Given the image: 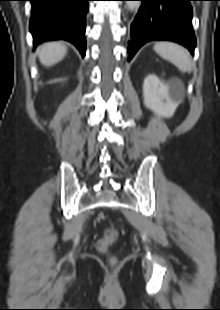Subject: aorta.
Wrapping results in <instances>:
<instances>
[{
    "label": "aorta",
    "instance_id": "aorta-1",
    "mask_svg": "<svg viewBox=\"0 0 220 310\" xmlns=\"http://www.w3.org/2000/svg\"><path fill=\"white\" fill-rule=\"evenodd\" d=\"M126 5L130 11H134L139 8L140 2L139 1H127Z\"/></svg>",
    "mask_w": 220,
    "mask_h": 310
}]
</instances>
